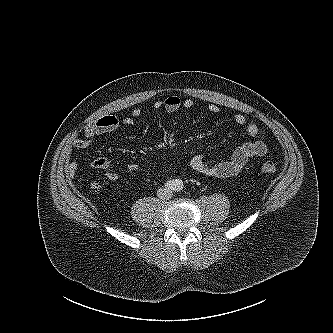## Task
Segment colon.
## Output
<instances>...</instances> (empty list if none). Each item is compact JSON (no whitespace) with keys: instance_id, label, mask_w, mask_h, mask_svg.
<instances>
[{"instance_id":"1","label":"colon","mask_w":333,"mask_h":333,"mask_svg":"<svg viewBox=\"0 0 333 333\" xmlns=\"http://www.w3.org/2000/svg\"><path fill=\"white\" fill-rule=\"evenodd\" d=\"M276 169H277V163L272 159L265 160L259 165V170L265 174L273 173L276 171ZM98 186L99 185L97 183L93 184V187H98Z\"/></svg>"}]
</instances>
